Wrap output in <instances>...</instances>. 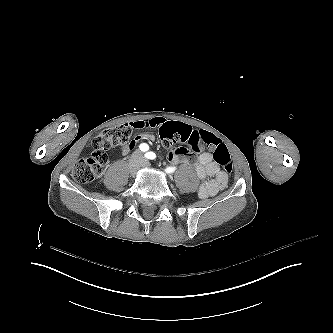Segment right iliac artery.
<instances>
[{"label": "right iliac artery", "mask_w": 333, "mask_h": 333, "mask_svg": "<svg viewBox=\"0 0 333 333\" xmlns=\"http://www.w3.org/2000/svg\"><path fill=\"white\" fill-rule=\"evenodd\" d=\"M140 150L141 151H147L149 150V146L146 144V143H142L140 146H139ZM149 153V152H148ZM147 157V156H146Z\"/></svg>", "instance_id": "obj_1"}]
</instances>
